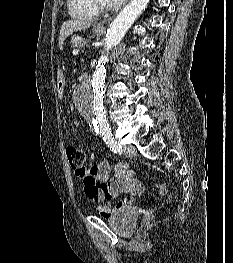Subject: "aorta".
<instances>
[{
    "label": "aorta",
    "mask_w": 233,
    "mask_h": 263,
    "mask_svg": "<svg viewBox=\"0 0 233 263\" xmlns=\"http://www.w3.org/2000/svg\"><path fill=\"white\" fill-rule=\"evenodd\" d=\"M150 0H131L112 21L106 37L105 53L101 55L91 78L79 86L76 105L79 112L101 132L108 130L104 108L105 63L109 51L124 37Z\"/></svg>",
    "instance_id": "obj_1"
}]
</instances>
